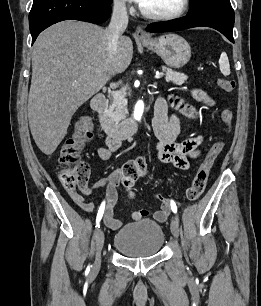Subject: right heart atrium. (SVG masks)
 Segmentation results:
<instances>
[{
  "instance_id": "d8ad5b80",
  "label": "right heart atrium",
  "mask_w": 261,
  "mask_h": 306,
  "mask_svg": "<svg viewBox=\"0 0 261 306\" xmlns=\"http://www.w3.org/2000/svg\"><path fill=\"white\" fill-rule=\"evenodd\" d=\"M113 8L118 13H125L127 11V0H113Z\"/></svg>"
}]
</instances>
